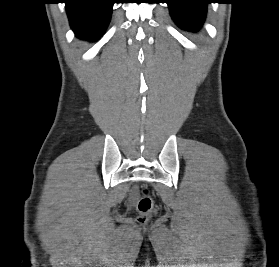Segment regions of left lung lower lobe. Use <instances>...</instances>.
Instances as JSON below:
<instances>
[{"instance_id":"0a47b994","label":"left lung lower lobe","mask_w":279,"mask_h":267,"mask_svg":"<svg viewBox=\"0 0 279 267\" xmlns=\"http://www.w3.org/2000/svg\"><path fill=\"white\" fill-rule=\"evenodd\" d=\"M174 21L184 29L196 31L204 22L210 0H167Z\"/></svg>"}]
</instances>
